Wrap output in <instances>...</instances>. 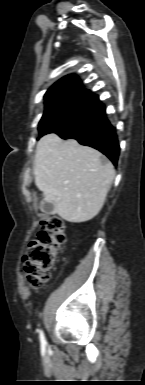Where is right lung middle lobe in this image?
<instances>
[{"mask_svg": "<svg viewBox=\"0 0 145 385\" xmlns=\"http://www.w3.org/2000/svg\"><path fill=\"white\" fill-rule=\"evenodd\" d=\"M98 101V96L87 91H75L54 97L46 102L39 122L40 137L57 133L70 125Z\"/></svg>", "mask_w": 145, "mask_h": 385, "instance_id": "1", "label": "right lung middle lobe"}]
</instances>
